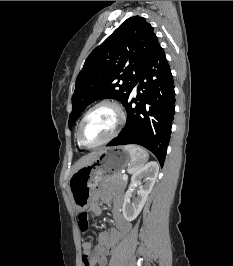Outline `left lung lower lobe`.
Listing matches in <instances>:
<instances>
[{
	"label": "left lung lower lobe",
	"instance_id": "0a47b994",
	"mask_svg": "<svg viewBox=\"0 0 233 266\" xmlns=\"http://www.w3.org/2000/svg\"><path fill=\"white\" fill-rule=\"evenodd\" d=\"M137 80L140 86L136 99L129 98L124 104L128 114L126 127L107 146H144L163 166L175 114V92L173 76L160 44L150 54Z\"/></svg>",
	"mask_w": 233,
	"mask_h": 266
}]
</instances>
